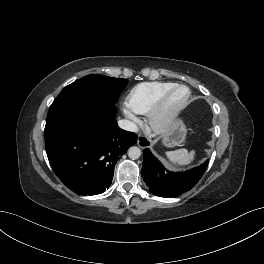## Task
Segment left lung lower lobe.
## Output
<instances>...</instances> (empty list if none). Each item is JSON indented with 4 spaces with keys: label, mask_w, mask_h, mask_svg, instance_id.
Instances as JSON below:
<instances>
[{
    "label": "left lung lower lobe",
    "mask_w": 264,
    "mask_h": 264,
    "mask_svg": "<svg viewBox=\"0 0 264 264\" xmlns=\"http://www.w3.org/2000/svg\"><path fill=\"white\" fill-rule=\"evenodd\" d=\"M141 175L149 191L160 197H175L190 190L201 179L208 160L201 166L185 172H171L150 152L143 150Z\"/></svg>",
    "instance_id": "left-lung-lower-lobe-1"
}]
</instances>
